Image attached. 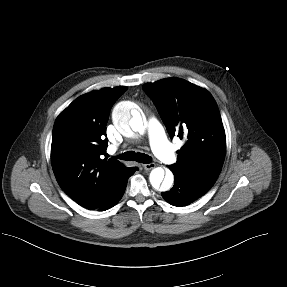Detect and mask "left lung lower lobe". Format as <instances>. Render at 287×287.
Wrapping results in <instances>:
<instances>
[{"label": "left lung lower lobe", "instance_id": "left-lung-lower-lobe-1", "mask_svg": "<svg viewBox=\"0 0 287 287\" xmlns=\"http://www.w3.org/2000/svg\"><path fill=\"white\" fill-rule=\"evenodd\" d=\"M173 174L175 177L173 188L161 193L162 197L171 205L187 206L208 192L194 184L186 175L175 172Z\"/></svg>", "mask_w": 287, "mask_h": 287}]
</instances>
